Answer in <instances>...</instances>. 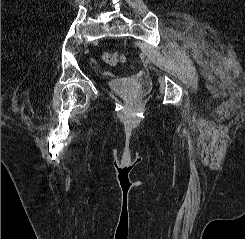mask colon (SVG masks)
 <instances>
[{"label": "colon", "mask_w": 245, "mask_h": 239, "mask_svg": "<svg viewBox=\"0 0 245 239\" xmlns=\"http://www.w3.org/2000/svg\"><path fill=\"white\" fill-rule=\"evenodd\" d=\"M121 59L122 56L115 52L105 53L102 56L103 62L109 65H115L121 61Z\"/></svg>", "instance_id": "colon-1"}]
</instances>
